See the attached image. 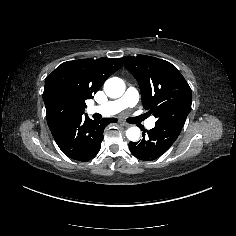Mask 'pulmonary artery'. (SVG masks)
I'll use <instances>...</instances> for the list:
<instances>
[{
	"label": "pulmonary artery",
	"mask_w": 236,
	"mask_h": 236,
	"mask_svg": "<svg viewBox=\"0 0 236 236\" xmlns=\"http://www.w3.org/2000/svg\"><path fill=\"white\" fill-rule=\"evenodd\" d=\"M139 101V95L134 88H128L127 91L118 99L108 101L99 105H91L90 112H97L103 116H114L126 108L134 107ZM153 123L150 124V128Z\"/></svg>",
	"instance_id": "pulmonary-artery-1"
}]
</instances>
